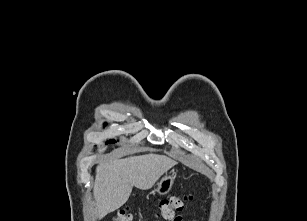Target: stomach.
I'll use <instances>...</instances> for the list:
<instances>
[{
  "instance_id": "0dacf381",
  "label": "stomach",
  "mask_w": 307,
  "mask_h": 221,
  "mask_svg": "<svg viewBox=\"0 0 307 221\" xmlns=\"http://www.w3.org/2000/svg\"><path fill=\"white\" fill-rule=\"evenodd\" d=\"M175 178L176 174L174 172H170L169 174H165L164 176H162L160 180L157 182L155 192H157L160 195L167 194L171 190Z\"/></svg>"
}]
</instances>
